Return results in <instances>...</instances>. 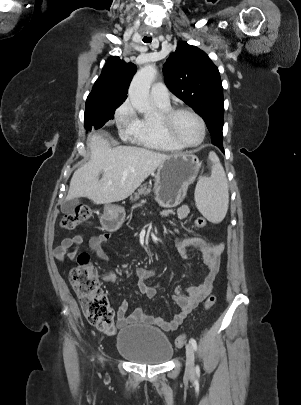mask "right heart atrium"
Masks as SVG:
<instances>
[{
	"label": "right heart atrium",
	"instance_id": "right-heart-atrium-1",
	"mask_svg": "<svg viewBox=\"0 0 301 405\" xmlns=\"http://www.w3.org/2000/svg\"><path fill=\"white\" fill-rule=\"evenodd\" d=\"M137 118L135 109L129 100H125L115 111L116 124L124 133L129 132Z\"/></svg>",
	"mask_w": 301,
	"mask_h": 405
}]
</instances>
